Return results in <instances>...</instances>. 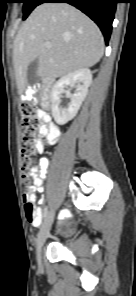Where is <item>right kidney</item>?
I'll use <instances>...</instances> for the list:
<instances>
[{
  "label": "right kidney",
  "instance_id": "1",
  "mask_svg": "<svg viewBox=\"0 0 136 296\" xmlns=\"http://www.w3.org/2000/svg\"><path fill=\"white\" fill-rule=\"evenodd\" d=\"M92 82V72L88 68L78 69L61 77L52 87L51 108L55 121L63 125L73 119L84 101L88 88ZM65 87L75 88V93L65 90ZM65 93L70 99L67 107L60 106L61 94Z\"/></svg>",
  "mask_w": 136,
  "mask_h": 296
}]
</instances>
